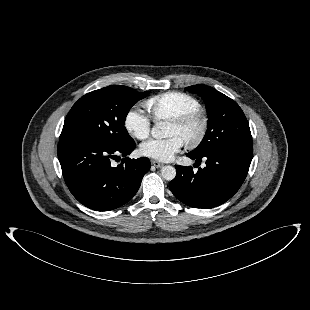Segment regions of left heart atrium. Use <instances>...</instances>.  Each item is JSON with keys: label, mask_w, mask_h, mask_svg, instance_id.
I'll use <instances>...</instances> for the list:
<instances>
[{"label": "left heart atrium", "mask_w": 310, "mask_h": 310, "mask_svg": "<svg viewBox=\"0 0 310 310\" xmlns=\"http://www.w3.org/2000/svg\"><path fill=\"white\" fill-rule=\"evenodd\" d=\"M184 142L178 136L166 139H151L143 143L140 151L144 156L167 162L173 159L183 147Z\"/></svg>", "instance_id": "left-heart-atrium-1"}]
</instances>
